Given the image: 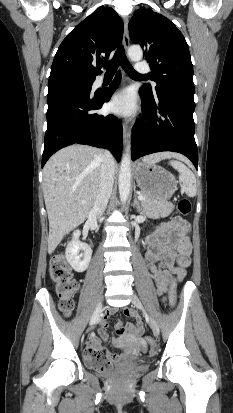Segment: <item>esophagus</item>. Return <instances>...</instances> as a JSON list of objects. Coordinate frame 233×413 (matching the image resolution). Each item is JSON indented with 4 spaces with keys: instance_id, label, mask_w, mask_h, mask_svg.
<instances>
[{
    "instance_id": "1",
    "label": "esophagus",
    "mask_w": 233,
    "mask_h": 413,
    "mask_svg": "<svg viewBox=\"0 0 233 413\" xmlns=\"http://www.w3.org/2000/svg\"><path fill=\"white\" fill-rule=\"evenodd\" d=\"M128 22H129L128 18H124L123 45L126 50L130 46ZM122 132H123L124 145L126 148H128L130 145L131 131H130V128L124 123L122 125Z\"/></svg>"
}]
</instances>
